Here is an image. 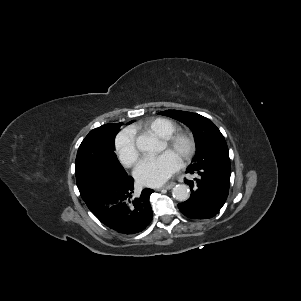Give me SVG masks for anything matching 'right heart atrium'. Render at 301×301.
<instances>
[{
	"label": "right heart atrium",
	"mask_w": 301,
	"mask_h": 301,
	"mask_svg": "<svg viewBox=\"0 0 301 301\" xmlns=\"http://www.w3.org/2000/svg\"><path fill=\"white\" fill-rule=\"evenodd\" d=\"M114 147L120 162L126 167H132L138 162L139 151L132 129L122 130L116 136Z\"/></svg>",
	"instance_id": "d8ad5b80"
}]
</instances>
